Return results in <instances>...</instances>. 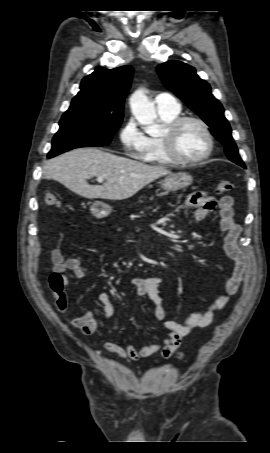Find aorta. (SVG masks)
I'll list each match as a JSON object with an SVG mask.
<instances>
[{
    "mask_svg": "<svg viewBox=\"0 0 270 453\" xmlns=\"http://www.w3.org/2000/svg\"><path fill=\"white\" fill-rule=\"evenodd\" d=\"M130 107L136 120L144 126L149 135L159 132L160 126L156 123L157 114L154 104L147 97L144 89L136 90L130 97Z\"/></svg>",
    "mask_w": 270,
    "mask_h": 453,
    "instance_id": "762f6f07",
    "label": "aorta"
}]
</instances>
